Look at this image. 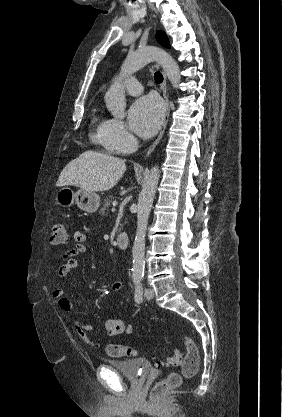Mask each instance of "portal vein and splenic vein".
<instances>
[{
	"label": "portal vein and splenic vein",
	"mask_w": 282,
	"mask_h": 417,
	"mask_svg": "<svg viewBox=\"0 0 282 417\" xmlns=\"http://www.w3.org/2000/svg\"><path fill=\"white\" fill-rule=\"evenodd\" d=\"M112 204H113L112 211L113 212H118L119 211V206L116 205L117 204L116 200H114V202H112Z\"/></svg>",
	"instance_id": "1"
}]
</instances>
